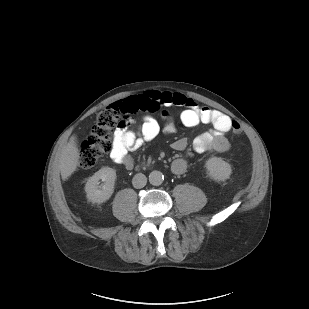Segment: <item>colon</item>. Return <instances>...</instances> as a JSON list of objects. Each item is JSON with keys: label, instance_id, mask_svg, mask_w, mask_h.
Listing matches in <instances>:
<instances>
[{"label": "colon", "instance_id": "colon-1", "mask_svg": "<svg viewBox=\"0 0 309 309\" xmlns=\"http://www.w3.org/2000/svg\"><path fill=\"white\" fill-rule=\"evenodd\" d=\"M131 113L125 101L116 102L98 113L90 135L80 144L78 166L81 169L94 167L112 150L113 132L133 124ZM232 128L236 135L242 134L238 122L234 121Z\"/></svg>", "mask_w": 309, "mask_h": 309}]
</instances>
